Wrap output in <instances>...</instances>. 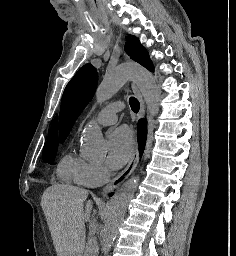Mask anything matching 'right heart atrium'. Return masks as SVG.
Returning <instances> with one entry per match:
<instances>
[{"label": "right heart atrium", "instance_id": "1", "mask_svg": "<svg viewBox=\"0 0 236 256\" xmlns=\"http://www.w3.org/2000/svg\"><path fill=\"white\" fill-rule=\"evenodd\" d=\"M108 179L109 172L102 162H84L79 165L76 173V183L88 188L100 187L104 185Z\"/></svg>", "mask_w": 236, "mask_h": 256}]
</instances>
